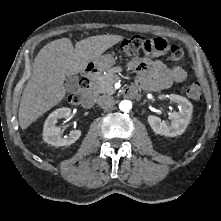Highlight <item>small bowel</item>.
Returning a JSON list of instances; mask_svg holds the SVG:
<instances>
[{"instance_id": "c3829d8e", "label": "small bowel", "mask_w": 221, "mask_h": 221, "mask_svg": "<svg viewBox=\"0 0 221 221\" xmlns=\"http://www.w3.org/2000/svg\"><path fill=\"white\" fill-rule=\"evenodd\" d=\"M150 57H137L129 62V68L137 75L133 86L137 90L159 91L169 88L173 83L182 82L187 72L179 65L168 66L161 60L154 59L164 51H145Z\"/></svg>"}]
</instances>
